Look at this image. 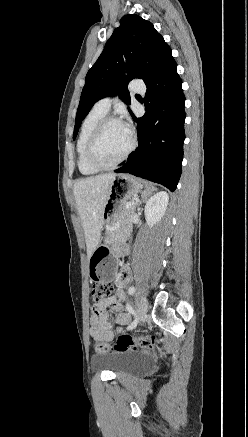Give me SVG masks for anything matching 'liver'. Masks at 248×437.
I'll return each mask as SVG.
<instances>
[{"instance_id": "6515ba94", "label": "liver", "mask_w": 248, "mask_h": 437, "mask_svg": "<svg viewBox=\"0 0 248 437\" xmlns=\"http://www.w3.org/2000/svg\"><path fill=\"white\" fill-rule=\"evenodd\" d=\"M115 176V173H108L83 178L73 187L77 211L84 229L88 258L92 256L100 241L104 207Z\"/></svg>"}]
</instances>
